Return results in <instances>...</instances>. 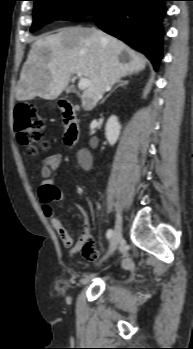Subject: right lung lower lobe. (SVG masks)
I'll return each instance as SVG.
<instances>
[{
	"label": "right lung lower lobe",
	"instance_id": "obj_1",
	"mask_svg": "<svg viewBox=\"0 0 193 349\" xmlns=\"http://www.w3.org/2000/svg\"><path fill=\"white\" fill-rule=\"evenodd\" d=\"M167 0H99L94 23L144 53L157 70L162 56V17Z\"/></svg>",
	"mask_w": 193,
	"mask_h": 349
}]
</instances>
